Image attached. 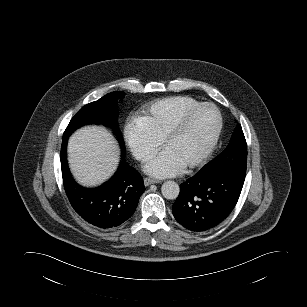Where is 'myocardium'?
Returning a JSON list of instances; mask_svg holds the SVG:
<instances>
[{"instance_id": "myocardium-1", "label": "myocardium", "mask_w": 307, "mask_h": 307, "mask_svg": "<svg viewBox=\"0 0 307 307\" xmlns=\"http://www.w3.org/2000/svg\"><path fill=\"white\" fill-rule=\"evenodd\" d=\"M204 108L211 109L215 112L217 116V125L210 141L208 142L204 150L193 160L186 163L184 165L186 168H195L203 164L215 150L223 128V117L220 110L215 105L207 102L195 104L182 113V115L178 118V120L172 125V127L165 133L162 138V144L163 146H165V144L169 140L176 137L184 130L189 118L194 112Z\"/></svg>"}]
</instances>
